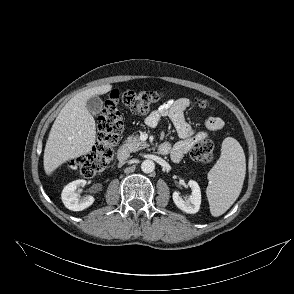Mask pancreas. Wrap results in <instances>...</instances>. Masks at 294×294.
Segmentation results:
<instances>
[{
	"mask_svg": "<svg viewBox=\"0 0 294 294\" xmlns=\"http://www.w3.org/2000/svg\"><path fill=\"white\" fill-rule=\"evenodd\" d=\"M147 146L148 144L141 141L138 136H129L123 144V148L129 152H136L145 149Z\"/></svg>",
	"mask_w": 294,
	"mask_h": 294,
	"instance_id": "pancreas-1",
	"label": "pancreas"
}]
</instances>
